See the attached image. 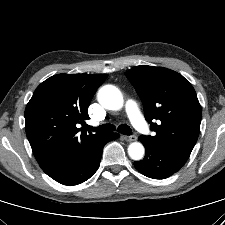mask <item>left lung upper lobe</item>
Masks as SVG:
<instances>
[{
    "instance_id": "obj_1",
    "label": "left lung upper lobe",
    "mask_w": 225,
    "mask_h": 225,
    "mask_svg": "<svg viewBox=\"0 0 225 225\" xmlns=\"http://www.w3.org/2000/svg\"><path fill=\"white\" fill-rule=\"evenodd\" d=\"M126 76L142 99L145 118L155 132V136L140 138L187 160L197 142L202 116L192 85L162 67L136 66Z\"/></svg>"
}]
</instances>
